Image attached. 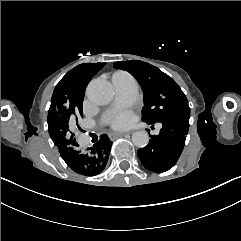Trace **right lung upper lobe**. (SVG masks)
I'll list each match as a JSON object with an SVG mask.
<instances>
[{"label": "right lung upper lobe", "instance_id": "right-lung-upper-lobe-1", "mask_svg": "<svg viewBox=\"0 0 241 241\" xmlns=\"http://www.w3.org/2000/svg\"><path fill=\"white\" fill-rule=\"evenodd\" d=\"M48 131L55 146L66 145L68 140L66 134L59 123L53 118H48Z\"/></svg>", "mask_w": 241, "mask_h": 241}]
</instances>
